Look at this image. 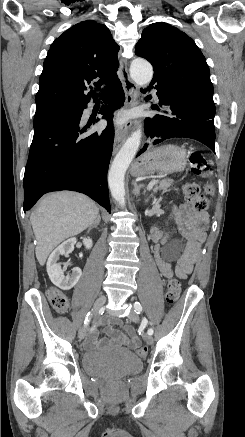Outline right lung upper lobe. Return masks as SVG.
Wrapping results in <instances>:
<instances>
[{"instance_id": "1", "label": "right lung upper lobe", "mask_w": 245, "mask_h": 437, "mask_svg": "<svg viewBox=\"0 0 245 437\" xmlns=\"http://www.w3.org/2000/svg\"><path fill=\"white\" fill-rule=\"evenodd\" d=\"M119 46L109 29L94 20L72 26L54 40L47 53L35 97L36 110L55 105H80L89 102L94 92L84 94L94 79L106 90L119 82Z\"/></svg>"}]
</instances>
